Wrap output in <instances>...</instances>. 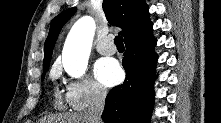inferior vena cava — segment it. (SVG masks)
Segmentation results:
<instances>
[{
	"instance_id": "inferior-vena-cava-1",
	"label": "inferior vena cava",
	"mask_w": 221,
	"mask_h": 123,
	"mask_svg": "<svg viewBox=\"0 0 221 123\" xmlns=\"http://www.w3.org/2000/svg\"><path fill=\"white\" fill-rule=\"evenodd\" d=\"M106 94L99 89H94L91 94V103L85 113L91 123H101V115L105 106Z\"/></svg>"
}]
</instances>
